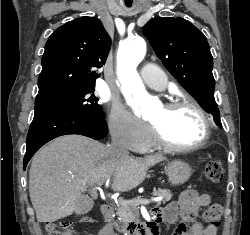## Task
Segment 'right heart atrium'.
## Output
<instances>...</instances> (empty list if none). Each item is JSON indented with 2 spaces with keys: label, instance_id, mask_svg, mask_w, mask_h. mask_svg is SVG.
<instances>
[{
  "label": "right heart atrium",
  "instance_id": "obj_1",
  "mask_svg": "<svg viewBox=\"0 0 250 235\" xmlns=\"http://www.w3.org/2000/svg\"><path fill=\"white\" fill-rule=\"evenodd\" d=\"M108 129L114 141L131 151L143 150L152 137L149 128L119 104L110 110Z\"/></svg>",
  "mask_w": 250,
  "mask_h": 235
}]
</instances>
